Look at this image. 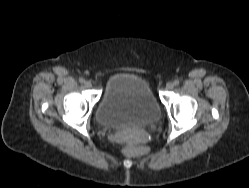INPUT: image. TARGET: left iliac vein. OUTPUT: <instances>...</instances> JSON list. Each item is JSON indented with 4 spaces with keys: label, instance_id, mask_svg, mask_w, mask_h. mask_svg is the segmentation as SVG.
I'll use <instances>...</instances> for the list:
<instances>
[{
    "label": "left iliac vein",
    "instance_id": "4c4485c4",
    "mask_svg": "<svg viewBox=\"0 0 249 188\" xmlns=\"http://www.w3.org/2000/svg\"><path fill=\"white\" fill-rule=\"evenodd\" d=\"M173 88H174V83L168 82V83L166 84V89L172 90Z\"/></svg>",
    "mask_w": 249,
    "mask_h": 188
}]
</instances>
